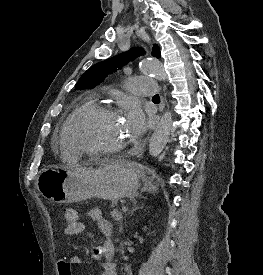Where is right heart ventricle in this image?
Listing matches in <instances>:
<instances>
[{"label": "right heart ventricle", "mask_w": 263, "mask_h": 275, "mask_svg": "<svg viewBox=\"0 0 263 275\" xmlns=\"http://www.w3.org/2000/svg\"><path fill=\"white\" fill-rule=\"evenodd\" d=\"M94 105L93 98H87L84 100L67 118L64 123L63 130H62V153L65 157L69 159H77L78 154L70 145L69 141L67 140V136L70 132V128L78 115H80L83 111L90 108Z\"/></svg>", "instance_id": "1"}]
</instances>
